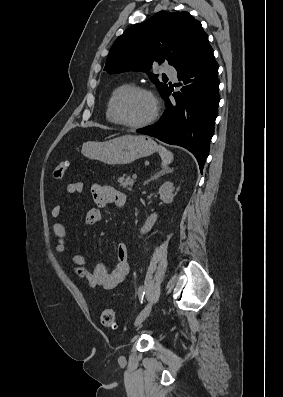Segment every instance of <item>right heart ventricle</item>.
Instances as JSON below:
<instances>
[{"label": "right heart ventricle", "instance_id": "1", "mask_svg": "<svg viewBox=\"0 0 283 397\" xmlns=\"http://www.w3.org/2000/svg\"><path fill=\"white\" fill-rule=\"evenodd\" d=\"M131 86L132 85L129 82H122V83H119L115 87L112 88V90H111V92L109 94L107 103H106V118L111 123H117V120L115 118L114 111H113V104H114L115 98L122 91L126 90L127 88H129Z\"/></svg>", "mask_w": 283, "mask_h": 397}]
</instances>
